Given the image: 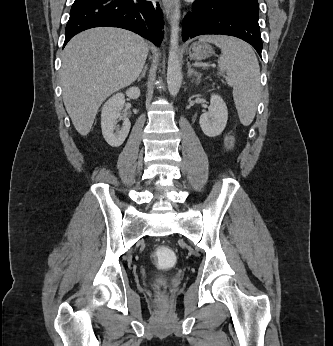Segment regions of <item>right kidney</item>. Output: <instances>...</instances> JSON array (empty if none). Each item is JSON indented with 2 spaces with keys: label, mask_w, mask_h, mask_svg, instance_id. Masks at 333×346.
I'll return each instance as SVG.
<instances>
[{
  "label": "right kidney",
  "mask_w": 333,
  "mask_h": 346,
  "mask_svg": "<svg viewBox=\"0 0 333 346\" xmlns=\"http://www.w3.org/2000/svg\"><path fill=\"white\" fill-rule=\"evenodd\" d=\"M128 97L137 99L140 96L138 87H130L126 93ZM125 104V95L117 93L113 95L102 107L101 128L106 142L112 147H119L125 141L130 131V121L122 116L121 111ZM123 120L122 127L117 125V120Z\"/></svg>",
  "instance_id": "obj_1"
}]
</instances>
